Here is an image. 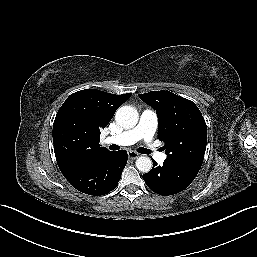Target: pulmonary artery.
Masks as SVG:
<instances>
[{
	"label": "pulmonary artery",
	"instance_id": "1",
	"mask_svg": "<svg viewBox=\"0 0 257 257\" xmlns=\"http://www.w3.org/2000/svg\"><path fill=\"white\" fill-rule=\"evenodd\" d=\"M157 125L158 116L156 112L151 109H146L141 113L139 122L134 128L117 135L106 137L105 143L127 146L135 144L139 140H143L151 156L157 162L162 163L166 159V154L158 151L152 143Z\"/></svg>",
	"mask_w": 257,
	"mask_h": 257
}]
</instances>
